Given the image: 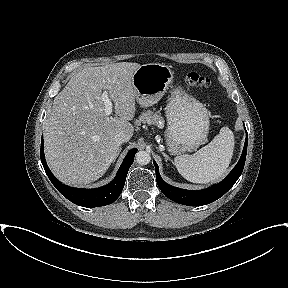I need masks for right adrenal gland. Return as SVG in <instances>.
Segmentation results:
<instances>
[{
    "label": "right adrenal gland",
    "mask_w": 288,
    "mask_h": 288,
    "mask_svg": "<svg viewBox=\"0 0 288 288\" xmlns=\"http://www.w3.org/2000/svg\"><path fill=\"white\" fill-rule=\"evenodd\" d=\"M121 151V148L119 149L118 153H117V156L119 155V152Z\"/></svg>",
    "instance_id": "right-adrenal-gland-1"
}]
</instances>
